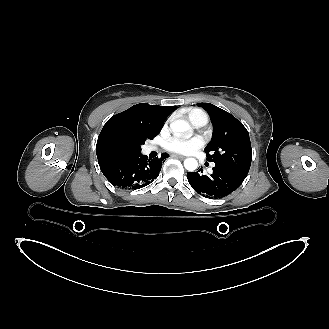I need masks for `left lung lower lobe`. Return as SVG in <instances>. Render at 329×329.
Segmentation results:
<instances>
[{
	"label": "left lung lower lobe",
	"mask_w": 329,
	"mask_h": 329,
	"mask_svg": "<svg viewBox=\"0 0 329 329\" xmlns=\"http://www.w3.org/2000/svg\"><path fill=\"white\" fill-rule=\"evenodd\" d=\"M202 172L201 169L197 172H188V182L197 193L213 199L231 194L247 176L232 168L217 164H215L211 175H203Z\"/></svg>",
	"instance_id": "0a47b994"
}]
</instances>
